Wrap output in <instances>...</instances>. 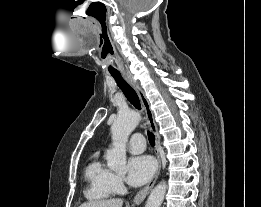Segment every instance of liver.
Returning a JSON list of instances; mask_svg holds the SVG:
<instances>
[{
	"instance_id": "6515ba94",
	"label": "liver",
	"mask_w": 261,
	"mask_h": 207,
	"mask_svg": "<svg viewBox=\"0 0 261 207\" xmlns=\"http://www.w3.org/2000/svg\"><path fill=\"white\" fill-rule=\"evenodd\" d=\"M122 205H123L122 199L113 198V199H103V200L85 202L81 204L79 207H122Z\"/></svg>"
}]
</instances>
